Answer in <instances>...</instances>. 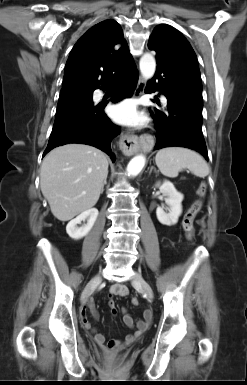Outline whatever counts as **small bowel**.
<instances>
[{
	"label": "small bowel",
	"instance_id": "obj_1",
	"mask_svg": "<svg viewBox=\"0 0 247 385\" xmlns=\"http://www.w3.org/2000/svg\"><path fill=\"white\" fill-rule=\"evenodd\" d=\"M128 295V287L124 284L116 283L109 287L108 289V298H109V307L111 309V314H117V308L115 307L113 297L114 296H126ZM90 310L91 313L97 317V311L95 309V300L93 297H90L87 303L80 309V320L83 327L89 331L100 347H105V336L97 332L90 324L86 312ZM123 312V321L125 325L133 330V333L126 336L124 341L113 340L109 342V346L117 348L119 350L124 349L131 345L137 338L140 337L142 332L148 328L153 320V315L150 310H145L142 315V319L136 320L131 314L127 313L126 309H122Z\"/></svg>",
	"mask_w": 247,
	"mask_h": 385
}]
</instances>
